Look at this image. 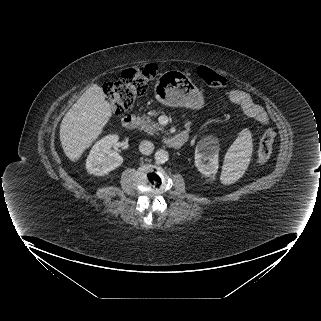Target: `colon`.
<instances>
[{
    "mask_svg": "<svg viewBox=\"0 0 321 321\" xmlns=\"http://www.w3.org/2000/svg\"><path fill=\"white\" fill-rule=\"evenodd\" d=\"M158 70V65L155 63L131 67L124 70L117 81L105 84L104 93L110 102L112 113L115 116H121L131 110L136 99L147 91L149 83L157 76ZM197 72L202 81L210 87L224 88L227 85L223 76L207 66H200ZM274 137L272 129L266 130L263 134L257 154L259 164H265L270 159Z\"/></svg>",
    "mask_w": 321,
    "mask_h": 321,
    "instance_id": "1",
    "label": "colon"
}]
</instances>
